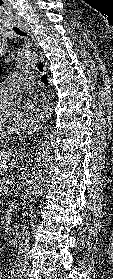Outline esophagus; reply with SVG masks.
I'll use <instances>...</instances> for the list:
<instances>
[{
    "label": "esophagus",
    "mask_w": 113,
    "mask_h": 279,
    "mask_svg": "<svg viewBox=\"0 0 113 279\" xmlns=\"http://www.w3.org/2000/svg\"><path fill=\"white\" fill-rule=\"evenodd\" d=\"M19 28L22 31L26 32L28 35H30L33 39H35L33 31H32V29L28 25H26V24H19ZM36 69L40 73L48 74V72H47V65H46V62L44 60L42 52H40V58H39V61H38L37 65H36ZM48 80H49V84H50L51 83V79H50L49 75H48Z\"/></svg>",
    "instance_id": "obj_1"
}]
</instances>
